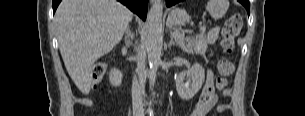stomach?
I'll return each instance as SVG.
<instances>
[{"label":"stomach","mask_w":305,"mask_h":116,"mask_svg":"<svg viewBox=\"0 0 305 116\" xmlns=\"http://www.w3.org/2000/svg\"><path fill=\"white\" fill-rule=\"evenodd\" d=\"M168 22L173 26H183L189 21V15L181 9H173L168 15Z\"/></svg>","instance_id":"stomach-1"}]
</instances>
